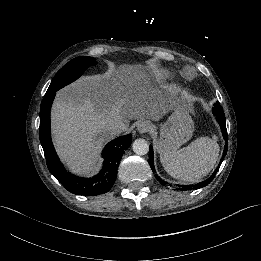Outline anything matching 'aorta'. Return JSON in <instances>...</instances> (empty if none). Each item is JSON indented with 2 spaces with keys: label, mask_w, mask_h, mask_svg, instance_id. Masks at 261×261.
I'll use <instances>...</instances> for the list:
<instances>
[{
  "label": "aorta",
  "mask_w": 261,
  "mask_h": 261,
  "mask_svg": "<svg viewBox=\"0 0 261 261\" xmlns=\"http://www.w3.org/2000/svg\"><path fill=\"white\" fill-rule=\"evenodd\" d=\"M133 152L136 155H146L149 152V144L145 139H137L132 145Z\"/></svg>",
  "instance_id": "762f6f07"
}]
</instances>
